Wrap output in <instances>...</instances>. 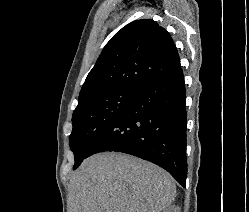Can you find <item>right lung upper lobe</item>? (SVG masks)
Segmentation results:
<instances>
[{"instance_id":"obj_1","label":"right lung upper lobe","mask_w":249,"mask_h":212,"mask_svg":"<svg viewBox=\"0 0 249 212\" xmlns=\"http://www.w3.org/2000/svg\"><path fill=\"white\" fill-rule=\"evenodd\" d=\"M179 67L169 33L154 20L134 21L106 44L82 86L78 105L109 92H140Z\"/></svg>"}]
</instances>
